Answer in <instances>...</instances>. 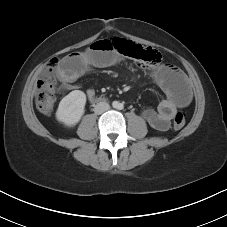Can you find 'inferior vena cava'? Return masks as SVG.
<instances>
[{
  "instance_id": "602c4592",
  "label": "inferior vena cava",
  "mask_w": 227,
  "mask_h": 227,
  "mask_svg": "<svg viewBox=\"0 0 227 227\" xmlns=\"http://www.w3.org/2000/svg\"><path fill=\"white\" fill-rule=\"evenodd\" d=\"M110 109V106L108 103L106 102H100L98 103L95 108H94V112L96 114H102L104 113L105 111L109 110Z\"/></svg>"
}]
</instances>
